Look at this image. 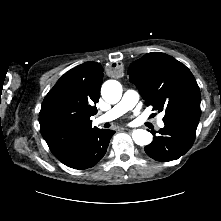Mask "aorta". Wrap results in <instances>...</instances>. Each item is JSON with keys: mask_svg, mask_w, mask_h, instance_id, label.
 <instances>
[{"mask_svg": "<svg viewBox=\"0 0 221 221\" xmlns=\"http://www.w3.org/2000/svg\"><path fill=\"white\" fill-rule=\"evenodd\" d=\"M101 95L106 102L116 104L122 97V86L116 80H108L102 85ZM152 137V134L144 129H135L132 132L134 142L140 146L150 144Z\"/></svg>", "mask_w": 221, "mask_h": 221, "instance_id": "1", "label": "aorta"}]
</instances>
